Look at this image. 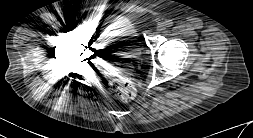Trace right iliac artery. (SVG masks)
<instances>
[{
  "label": "right iliac artery",
  "mask_w": 253,
  "mask_h": 138,
  "mask_svg": "<svg viewBox=\"0 0 253 138\" xmlns=\"http://www.w3.org/2000/svg\"><path fill=\"white\" fill-rule=\"evenodd\" d=\"M74 22L72 21V20H68L67 22H66V25L68 26V27H71V25L73 24Z\"/></svg>",
  "instance_id": "right-iliac-artery-1"
}]
</instances>
